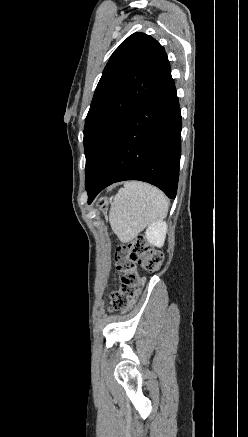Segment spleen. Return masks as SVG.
I'll return each instance as SVG.
<instances>
[{"label":"spleen","mask_w":248,"mask_h":437,"mask_svg":"<svg viewBox=\"0 0 248 437\" xmlns=\"http://www.w3.org/2000/svg\"><path fill=\"white\" fill-rule=\"evenodd\" d=\"M168 200L158 188L139 181L125 182L114 197L110 224L121 242L133 240L149 224L163 219Z\"/></svg>","instance_id":"3e777b00"}]
</instances>
